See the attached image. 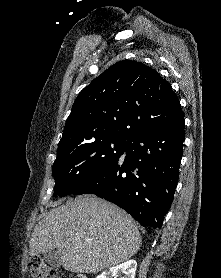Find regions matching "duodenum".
<instances>
[{
  "instance_id": "obj_1",
  "label": "duodenum",
  "mask_w": 221,
  "mask_h": 278,
  "mask_svg": "<svg viewBox=\"0 0 221 278\" xmlns=\"http://www.w3.org/2000/svg\"><path fill=\"white\" fill-rule=\"evenodd\" d=\"M82 278H87L86 276H82Z\"/></svg>"
}]
</instances>
